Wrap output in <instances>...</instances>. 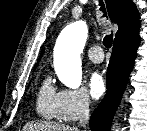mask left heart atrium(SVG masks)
<instances>
[{"label": "left heart atrium", "mask_w": 147, "mask_h": 131, "mask_svg": "<svg viewBox=\"0 0 147 131\" xmlns=\"http://www.w3.org/2000/svg\"><path fill=\"white\" fill-rule=\"evenodd\" d=\"M88 87L91 96L97 99L105 92V81L98 72H94L89 78Z\"/></svg>", "instance_id": "1"}]
</instances>
